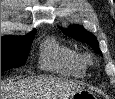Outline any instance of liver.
<instances>
[{"label": "liver", "mask_w": 115, "mask_h": 99, "mask_svg": "<svg viewBox=\"0 0 115 99\" xmlns=\"http://www.w3.org/2000/svg\"><path fill=\"white\" fill-rule=\"evenodd\" d=\"M81 90L73 82L51 77H36L1 83V99H67Z\"/></svg>", "instance_id": "1"}]
</instances>
